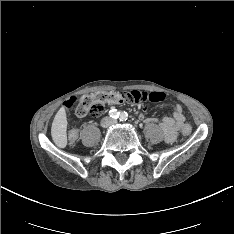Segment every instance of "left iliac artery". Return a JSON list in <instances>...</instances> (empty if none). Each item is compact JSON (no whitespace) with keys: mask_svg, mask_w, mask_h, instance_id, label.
<instances>
[{"mask_svg":"<svg viewBox=\"0 0 234 234\" xmlns=\"http://www.w3.org/2000/svg\"><path fill=\"white\" fill-rule=\"evenodd\" d=\"M128 117V114L126 112H122L120 114V121H126Z\"/></svg>","mask_w":234,"mask_h":234,"instance_id":"obj_1","label":"left iliac artery"}]
</instances>
